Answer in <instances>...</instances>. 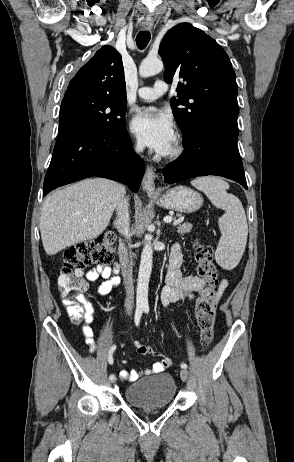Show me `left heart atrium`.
Masks as SVG:
<instances>
[{"label":"left heart atrium","instance_id":"1","mask_svg":"<svg viewBox=\"0 0 294 462\" xmlns=\"http://www.w3.org/2000/svg\"><path fill=\"white\" fill-rule=\"evenodd\" d=\"M130 126L132 131L158 154L165 155L175 143L176 134L171 118L155 108L138 110Z\"/></svg>","mask_w":294,"mask_h":462}]
</instances>
